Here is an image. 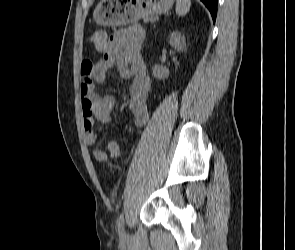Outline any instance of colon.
<instances>
[{
	"label": "colon",
	"instance_id": "colon-1",
	"mask_svg": "<svg viewBox=\"0 0 295 250\" xmlns=\"http://www.w3.org/2000/svg\"><path fill=\"white\" fill-rule=\"evenodd\" d=\"M89 42L94 45L96 49L103 48L107 43V36L101 31H93L89 36ZM106 156H100L99 161H104Z\"/></svg>",
	"mask_w": 295,
	"mask_h": 250
}]
</instances>
